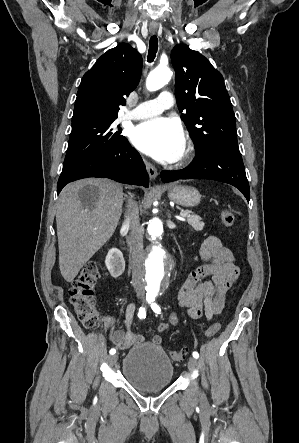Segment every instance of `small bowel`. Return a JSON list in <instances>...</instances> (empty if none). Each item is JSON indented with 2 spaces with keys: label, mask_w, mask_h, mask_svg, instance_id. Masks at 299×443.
Masks as SVG:
<instances>
[{
  "label": "small bowel",
  "mask_w": 299,
  "mask_h": 443,
  "mask_svg": "<svg viewBox=\"0 0 299 443\" xmlns=\"http://www.w3.org/2000/svg\"><path fill=\"white\" fill-rule=\"evenodd\" d=\"M200 258L203 263L190 272L181 287L179 304L191 318L204 315L207 320H211L214 315L223 311L227 291L238 280L240 267L233 252L215 235L208 236L202 243ZM135 309L134 303L127 305L125 329L116 330L111 336L112 343L120 350H127L132 345L145 341L142 335L132 330ZM177 323L176 315L172 314L169 322L157 326V331L167 333ZM162 341V336L156 334L152 336L150 343L160 346Z\"/></svg>",
  "instance_id": "obj_1"
}]
</instances>
